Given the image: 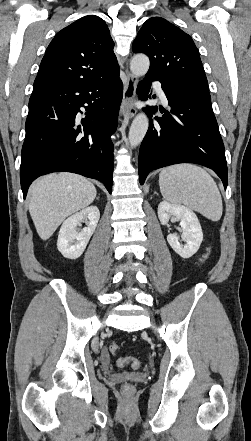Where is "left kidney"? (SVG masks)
<instances>
[{
  "mask_svg": "<svg viewBox=\"0 0 251 441\" xmlns=\"http://www.w3.org/2000/svg\"><path fill=\"white\" fill-rule=\"evenodd\" d=\"M173 217L180 220L182 228L181 238L186 244L182 245L179 242V236L177 234H169L167 241L171 248L182 258H190L198 251L203 240L199 220L190 208L180 204H171L162 201L158 206V218L161 224L166 225Z\"/></svg>",
  "mask_w": 251,
  "mask_h": 441,
  "instance_id": "5707ae66",
  "label": "left kidney"
}]
</instances>
